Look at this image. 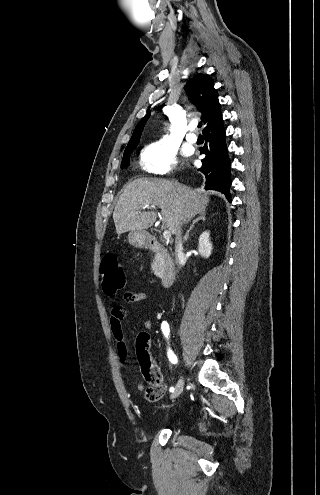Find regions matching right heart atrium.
Returning a JSON list of instances; mask_svg holds the SVG:
<instances>
[{"label":"right heart atrium","mask_w":320,"mask_h":495,"mask_svg":"<svg viewBox=\"0 0 320 495\" xmlns=\"http://www.w3.org/2000/svg\"><path fill=\"white\" fill-rule=\"evenodd\" d=\"M140 166L155 175L170 174L177 166V150L165 139L153 141L141 151Z\"/></svg>","instance_id":"right-heart-atrium-1"}]
</instances>
